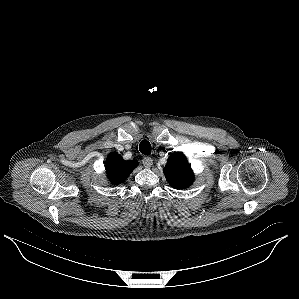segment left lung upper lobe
Masks as SVG:
<instances>
[{
  "instance_id": "1",
  "label": "left lung upper lobe",
  "mask_w": 299,
  "mask_h": 299,
  "mask_svg": "<svg viewBox=\"0 0 299 299\" xmlns=\"http://www.w3.org/2000/svg\"><path fill=\"white\" fill-rule=\"evenodd\" d=\"M164 174L170 185L176 189L187 188L194 180L187 158L181 152L171 154L164 168Z\"/></svg>"
}]
</instances>
